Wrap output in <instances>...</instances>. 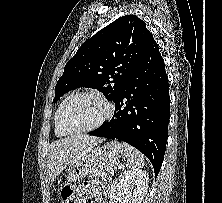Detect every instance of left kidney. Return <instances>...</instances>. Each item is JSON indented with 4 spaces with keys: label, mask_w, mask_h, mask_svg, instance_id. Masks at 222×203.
Masks as SVG:
<instances>
[{
    "label": "left kidney",
    "mask_w": 222,
    "mask_h": 203,
    "mask_svg": "<svg viewBox=\"0 0 222 203\" xmlns=\"http://www.w3.org/2000/svg\"><path fill=\"white\" fill-rule=\"evenodd\" d=\"M148 179L144 170L125 171L114 182L109 203H142L147 193Z\"/></svg>",
    "instance_id": "1"
}]
</instances>
